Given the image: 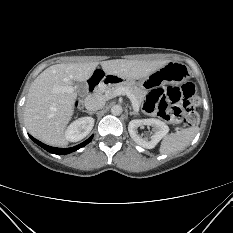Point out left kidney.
<instances>
[{
  "mask_svg": "<svg viewBox=\"0 0 233 233\" xmlns=\"http://www.w3.org/2000/svg\"><path fill=\"white\" fill-rule=\"evenodd\" d=\"M143 125L153 126V134L149 138H141L137 129ZM128 131L131 138L140 146L152 149L169 132V127L159 119H134L129 122Z\"/></svg>",
  "mask_w": 233,
  "mask_h": 233,
  "instance_id": "left-kidney-1",
  "label": "left kidney"
}]
</instances>
